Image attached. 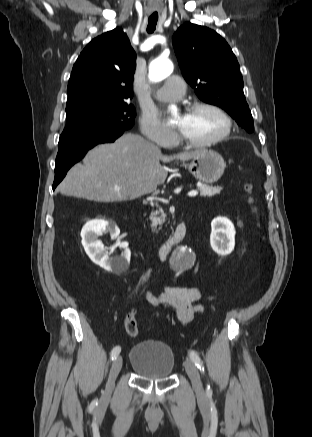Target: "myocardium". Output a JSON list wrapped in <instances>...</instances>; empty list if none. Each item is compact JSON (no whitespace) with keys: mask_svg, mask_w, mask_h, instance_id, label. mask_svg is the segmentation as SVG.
I'll return each instance as SVG.
<instances>
[{"mask_svg":"<svg viewBox=\"0 0 312 437\" xmlns=\"http://www.w3.org/2000/svg\"><path fill=\"white\" fill-rule=\"evenodd\" d=\"M201 110H209L218 114L224 121L223 130L218 135L203 141L190 140L180 133L179 141L182 144L196 148L207 147L221 142L230 135L233 128V120L225 109L217 104L201 102L191 105L189 108V113H194Z\"/></svg>","mask_w":312,"mask_h":437,"instance_id":"obj_1","label":"myocardium"}]
</instances>
